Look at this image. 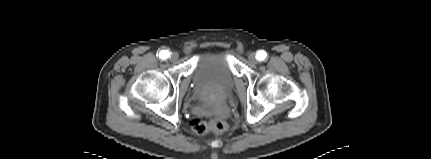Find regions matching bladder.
I'll return each mask as SVG.
<instances>
[{"instance_id":"obj_1","label":"bladder","mask_w":431,"mask_h":159,"mask_svg":"<svg viewBox=\"0 0 431 159\" xmlns=\"http://www.w3.org/2000/svg\"><path fill=\"white\" fill-rule=\"evenodd\" d=\"M232 49L203 53L197 59L192 74L193 89L199 98L225 99L234 90Z\"/></svg>"}]
</instances>
